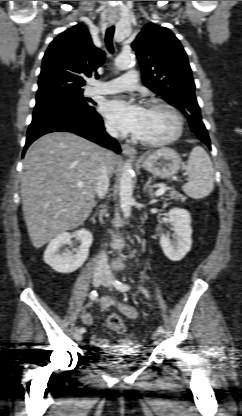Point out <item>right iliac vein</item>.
Returning <instances> with one entry per match:
<instances>
[{"label": "right iliac vein", "instance_id": "obj_1", "mask_svg": "<svg viewBox=\"0 0 242 416\" xmlns=\"http://www.w3.org/2000/svg\"><path fill=\"white\" fill-rule=\"evenodd\" d=\"M104 278H105L104 271L101 269H96L93 274V284L95 286H99L101 282L104 280ZM74 338L76 341H81L83 338L82 333L77 328L75 329V332H74Z\"/></svg>", "mask_w": 242, "mask_h": 416}]
</instances>
